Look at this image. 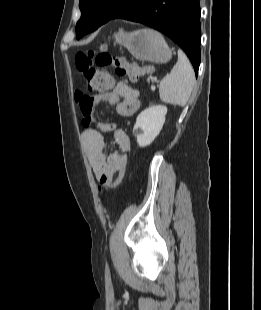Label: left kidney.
Segmentation results:
<instances>
[{"label": "left kidney", "mask_w": 261, "mask_h": 310, "mask_svg": "<svg viewBox=\"0 0 261 310\" xmlns=\"http://www.w3.org/2000/svg\"><path fill=\"white\" fill-rule=\"evenodd\" d=\"M167 107L164 105H153L142 111L133 128L140 147L149 146L159 135L164 123Z\"/></svg>", "instance_id": "1"}]
</instances>
